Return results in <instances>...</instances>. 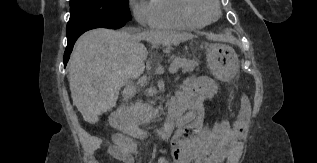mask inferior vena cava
Wrapping results in <instances>:
<instances>
[{"label": "inferior vena cava", "instance_id": "1", "mask_svg": "<svg viewBox=\"0 0 317 163\" xmlns=\"http://www.w3.org/2000/svg\"><path fill=\"white\" fill-rule=\"evenodd\" d=\"M134 87L129 83L127 87L124 89L123 96L124 98H130L133 95Z\"/></svg>", "mask_w": 317, "mask_h": 163}]
</instances>
